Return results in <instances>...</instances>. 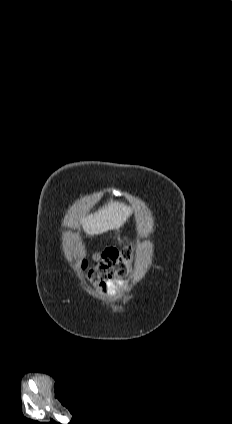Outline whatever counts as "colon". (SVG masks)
I'll return each mask as SVG.
<instances>
[{"label": "colon", "instance_id": "1", "mask_svg": "<svg viewBox=\"0 0 232 424\" xmlns=\"http://www.w3.org/2000/svg\"><path fill=\"white\" fill-rule=\"evenodd\" d=\"M133 259L132 249H108L95 256L94 267L88 269L84 264L83 269L87 270V278L95 282L122 278L130 274Z\"/></svg>", "mask_w": 232, "mask_h": 424}]
</instances>
